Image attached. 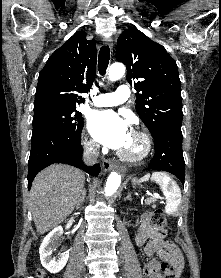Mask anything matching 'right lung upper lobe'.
Here are the masks:
<instances>
[{
    "mask_svg": "<svg viewBox=\"0 0 221 278\" xmlns=\"http://www.w3.org/2000/svg\"><path fill=\"white\" fill-rule=\"evenodd\" d=\"M95 40L77 31L48 59L39 74L34 106L76 105L84 102L81 93L93 84L96 72Z\"/></svg>",
    "mask_w": 221,
    "mask_h": 278,
    "instance_id": "cb5924a9",
    "label": "right lung upper lobe"
}]
</instances>
